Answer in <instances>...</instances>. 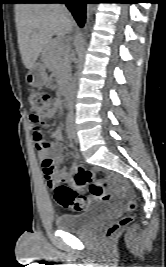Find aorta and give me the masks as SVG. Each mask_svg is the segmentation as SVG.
<instances>
[{
    "mask_svg": "<svg viewBox=\"0 0 166 267\" xmlns=\"http://www.w3.org/2000/svg\"><path fill=\"white\" fill-rule=\"evenodd\" d=\"M93 10H94V6H93V4H91V3L88 4V5H87V21H89L91 15H92V13H93Z\"/></svg>",
    "mask_w": 166,
    "mask_h": 267,
    "instance_id": "obj_1",
    "label": "aorta"
}]
</instances>
